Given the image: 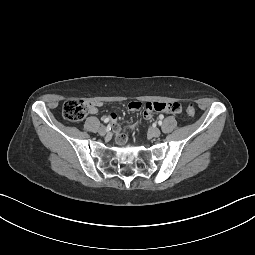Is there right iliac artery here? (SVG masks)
Returning a JSON list of instances; mask_svg holds the SVG:
<instances>
[{"label":"right iliac artery","mask_w":255,"mask_h":255,"mask_svg":"<svg viewBox=\"0 0 255 255\" xmlns=\"http://www.w3.org/2000/svg\"><path fill=\"white\" fill-rule=\"evenodd\" d=\"M109 120H110V119L107 118V117L103 119V121H104L105 123L109 122Z\"/></svg>","instance_id":"1"}]
</instances>
